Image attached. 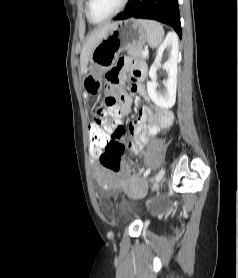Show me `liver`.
<instances>
[{"label":"liver","instance_id":"obj_1","mask_svg":"<svg viewBox=\"0 0 238 278\" xmlns=\"http://www.w3.org/2000/svg\"><path fill=\"white\" fill-rule=\"evenodd\" d=\"M116 24L108 23L96 29L86 40L85 45L82 49L80 56V66H81V74L86 71L88 62L90 60V55L93 48L97 45L99 41H101L108 33V31Z\"/></svg>","mask_w":238,"mask_h":278}]
</instances>
